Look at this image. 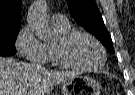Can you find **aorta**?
Returning <instances> with one entry per match:
<instances>
[{"label":"aorta","instance_id":"1","mask_svg":"<svg viewBox=\"0 0 135 95\" xmlns=\"http://www.w3.org/2000/svg\"><path fill=\"white\" fill-rule=\"evenodd\" d=\"M27 22L31 31L40 40L48 41L52 38L53 33L49 29L47 20V6L43 0H38L32 5Z\"/></svg>","mask_w":135,"mask_h":95}]
</instances>
